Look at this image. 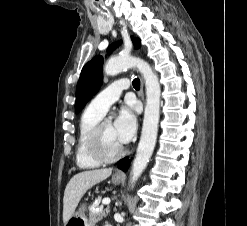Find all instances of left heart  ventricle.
I'll return each instance as SVG.
<instances>
[{
    "label": "left heart ventricle",
    "mask_w": 247,
    "mask_h": 226,
    "mask_svg": "<svg viewBox=\"0 0 247 226\" xmlns=\"http://www.w3.org/2000/svg\"><path fill=\"white\" fill-rule=\"evenodd\" d=\"M122 144L117 140L113 125L111 122H107L102 130L101 134V148L107 156H112L117 153Z\"/></svg>",
    "instance_id": "b2bd125f"
}]
</instances>
